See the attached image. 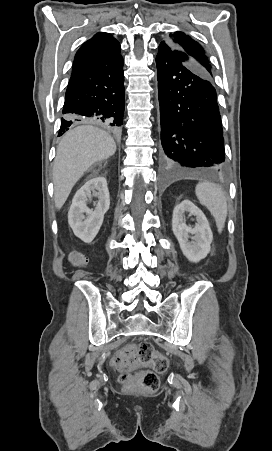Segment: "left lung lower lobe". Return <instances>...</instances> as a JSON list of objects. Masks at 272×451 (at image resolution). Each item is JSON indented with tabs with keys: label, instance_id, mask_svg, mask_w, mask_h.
<instances>
[{
	"label": "left lung lower lobe",
	"instance_id": "0a47b994",
	"mask_svg": "<svg viewBox=\"0 0 272 451\" xmlns=\"http://www.w3.org/2000/svg\"><path fill=\"white\" fill-rule=\"evenodd\" d=\"M160 159L166 168L226 167L224 139L213 80L184 50L159 45Z\"/></svg>",
	"mask_w": 272,
	"mask_h": 451
}]
</instances>
